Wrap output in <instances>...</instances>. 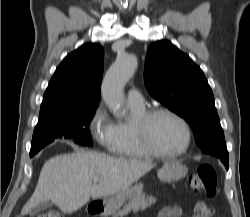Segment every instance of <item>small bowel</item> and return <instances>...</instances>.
<instances>
[{"label": "small bowel", "instance_id": "c3829d8e", "mask_svg": "<svg viewBox=\"0 0 250 217\" xmlns=\"http://www.w3.org/2000/svg\"><path fill=\"white\" fill-rule=\"evenodd\" d=\"M182 215V209L177 206H167L162 208L157 217H181ZM193 217H200V216H193Z\"/></svg>", "mask_w": 250, "mask_h": 217}]
</instances>
